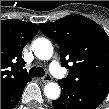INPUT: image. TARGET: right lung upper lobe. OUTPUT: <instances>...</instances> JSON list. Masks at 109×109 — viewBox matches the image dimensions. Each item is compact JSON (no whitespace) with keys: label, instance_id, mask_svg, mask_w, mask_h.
<instances>
[{"label":"right lung upper lobe","instance_id":"obj_1","mask_svg":"<svg viewBox=\"0 0 109 109\" xmlns=\"http://www.w3.org/2000/svg\"><path fill=\"white\" fill-rule=\"evenodd\" d=\"M38 30L36 24L17 19L1 21V94L31 79L22 68V50Z\"/></svg>","mask_w":109,"mask_h":109}]
</instances>
